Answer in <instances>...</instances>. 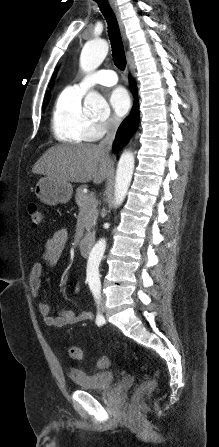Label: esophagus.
Returning <instances> with one entry per match:
<instances>
[{
  "instance_id": "esophagus-1",
  "label": "esophagus",
  "mask_w": 219,
  "mask_h": 447,
  "mask_svg": "<svg viewBox=\"0 0 219 447\" xmlns=\"http://www.w3.org/2000/svg\"><path fill=\"white\" fill-rule=\"evenodd\" d=\"M108 1L110 3L111 8L113 9V11H114V13L116 15V18H117V21H118L121 33H122L123 37L125 38V35H124V25H123L122 18L120 16V12H119L118 6H117L115 0H108Z\"/></svg>"
}]
</instances>
